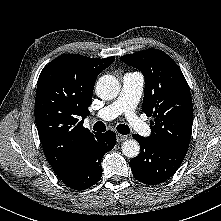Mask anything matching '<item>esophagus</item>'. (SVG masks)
<instances>
[{
	"instance_id": "34e87169",
	"label": "esophagus",
	"mask_w": 221,
	"mask_h": 221,
	"mask_svg": "<svg viewBox=\"0 0 221 221\" xmlns=\"http://www.w3.org/2000/svg\"><path fill=\"white\" fill-rule=\"evenodd\" d=\"M127 139V136L122 135V134H116V141L117 142H122L125 141Z\"/></svg>"
}]
</instances>
